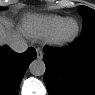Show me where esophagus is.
Instances as JSON below:
<instances>
[{
  "mask_svg": "<svg viewBox=\"0 0 95 95\" xmlns=\"http://www.w3.org/2000/svg\"><path fill=\"white\" fill-rule=\"evenodd\" d=\"M36 52H37V58L40 59V60L43 59V52H42V50L40 48H37Z\"/></svg>",
  "mask_w": 95,
  "mask_h": 95,
  "instance_id": "esophagus-1",
  "label": "esophagus"
}]
</instances>
